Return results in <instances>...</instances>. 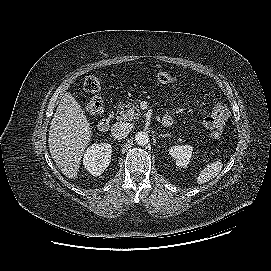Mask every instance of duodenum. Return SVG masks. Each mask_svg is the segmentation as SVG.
<instances>
[{"mask_svg": "<svg viewBox=\"0 0 271 271\" xmlns=\"http://www.w3.org/2000/svg\"><path fill=\"white\" fill-rule=\"evenodd\" d=\"M110 122H111V118L106 116L104 118H102L99 122H98V130L101 132H106L109 129L110 126ZM162 123L164 126H170L171 125V120L168 118H164L162 120Z\"/></svg>", "mask_w": 271, "mask_h": 271, "instance_id": "1", "label": "duodenum"}]
</instances>
